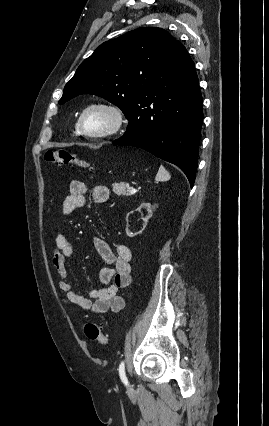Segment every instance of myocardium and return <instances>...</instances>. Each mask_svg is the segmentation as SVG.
Segmentation results:
<instances>
[{
    "mask_svg": "<svg viewBox=\"0 0 269 426\" xmlns=\"http://www.w3.org/2000/svg\"><path fill=\"white\" fill-rule=\"evenodd\" d=\"M92 110H103L107 112L111 117L110 125L104 130L91 132L86 130L84 126V118L86 114ZM125 123V115L123 111L116 105L106 102H95L86 106L79 115L77 128L79 132L88 138H106L111 137L117 134L124 126Z\"/></svg>",
    "mask_w": 269,
    "mask_h": 426,
    "instance_id": "f54148a6",
    "label": "myocardium"
}]
</instances>
